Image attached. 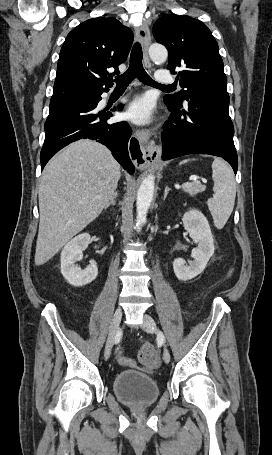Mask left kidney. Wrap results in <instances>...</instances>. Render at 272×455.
<instances>
[{
  "label": "left kidney",
  "instance_id": "1",
  "mask_svg": "<svg viewBox=\"0 0 272 455\" xmlns=\"http://www.w3.org/2000/svg\"><path fill=\"white\" fill-rule=\"evenodd\" d=\"M185 230L198 244L192 251L193 262L185 265L181 258L173 261V269L179 280L187 281L202 273L214 254V243L211 229L206 217L196 209L189 210L182 218Z\"/></svg>",
  "mask_w": 272,
  "mask_h": 455
}]
</instances>
